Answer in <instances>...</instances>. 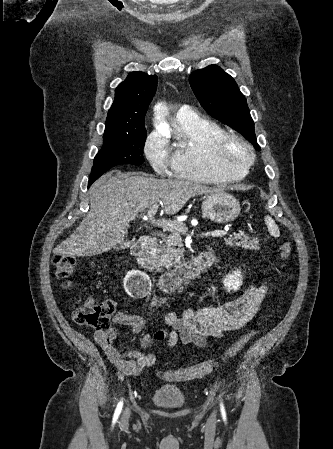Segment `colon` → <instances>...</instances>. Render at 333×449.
I'll return each mask as SVG.
<instances>
[{
    "label": "colon",
    "instance_id": "1",
    "mask_svg": "<svg viewBox=\"0 0 333 449\" xmlns=\"http://www.w3.org/2000/svg\"><path fill=\"white\" fill-rule=\"evenodd\" d=\"M277 251L283 261L291 258L292 249L288 242L282 241L278 244ZM52 265L56 276L64 281V287H70L69 277L73 274L76 266L74 257L67 254H55L52 257ZM115 311V304L111 300L96 302L87 299L83 305L73 311L75 322L90 326L96 330L106 331L110 327L111 317ZM250 335H244L239 338L221 357L220 361L229 360L236 357L242 350ZM218 365V361H206L191 367L159 371V375L170 381H187L195 378H201L210 374Z\"/></svg>",
    "mask_w": 333,
    "mask_h": 449
}]
</instances>
